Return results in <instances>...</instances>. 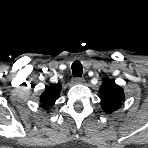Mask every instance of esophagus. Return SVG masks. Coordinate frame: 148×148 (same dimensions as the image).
<instances>
[{
  "label": "esophagus",
  "mask_w": 148,
  "mask_h": 148,
  "mask_svg": "<svg viewBox=\"0 0 148 148\" xmlns=\"http://www.w3.org/2000/svg\"><path fill=\"white\" fill-rule=\"evenodd\" d=\"M73 82L76 84H82L84 82V78L75 77V78H73Z\"/></svg>",
  "instance_id": "esophagus-1"
}]
</instances>
